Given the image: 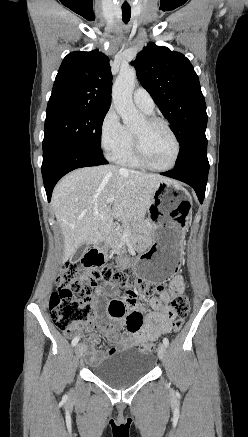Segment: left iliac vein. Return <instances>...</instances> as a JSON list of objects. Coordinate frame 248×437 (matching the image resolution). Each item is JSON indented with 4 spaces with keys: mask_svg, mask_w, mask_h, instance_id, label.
<instances>
[{
    "mask_svg": "<svg viewBox=\"0 0 248 437\" xmlns=\"http://www.w3.org/2000/svg\"><path fill=\"white\" fill-rule=\"evenodd\" d=\"M158 357L161 361L164 362L166 357V346L164 344H160L157 350Z\"/></svg>",
    "mask_w": 248,
    "mask_h": 437,
    "instance_id": "4c4485c4",
    "label": "left iliac vein"
}]
</instances>
